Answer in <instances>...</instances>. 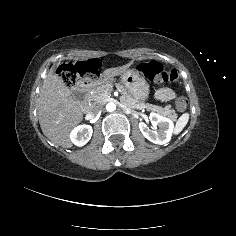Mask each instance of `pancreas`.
<instances>
[{"mask_svg":"<svg viewBox=\"0 0 236 236\" xmlns=\"http://www.w3.org/2000/svg\"><path fill=\"white\" fill-rule=\"evenodd\" d=\"M117 90L121 92L120 102L133 109H143L147 111H155L162 116H167L171 120L177 119V114L174 109H171V105H167L164 108L149 103H144L143 101L136 100L133 98L125 89V87L119 83L115 84ZM113 91V85L110 83H105L99 86H93L87 93L86 101L89 104L104 103L106 99L111 95Z\"/></svg>","mask_w":236,"mask_h":236,"instance_id":"cf45deb5","label":"pancreas"}]
</instances>
